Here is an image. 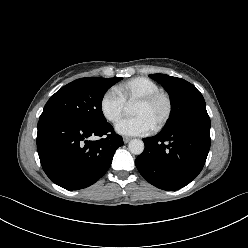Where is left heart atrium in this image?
I'll return each mask as SVG.
<instances>
[{"instance_id": "obj_1", "label": "left heart atrium", "mask_w": 248, "mask_h": 248, "mask_svg": "<svg viewBox=\"0 0 248 248\" xmlns=\"http://www.w3.org/2000/svg\"><path fill=\"white\" fill-rule=\"evenodd\" d=\"M152 124L143 116L136 115L120 120L115 129L125 136H139L149 134L153 130Z\"/></svg>"}]
</instances>
